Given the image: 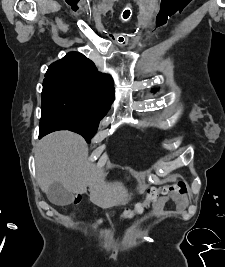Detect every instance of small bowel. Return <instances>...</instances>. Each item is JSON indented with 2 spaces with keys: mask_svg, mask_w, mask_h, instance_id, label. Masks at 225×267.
Masks as SVG:
<instances>
[{
  "mask_svg": "<svg viewBox=\"0 0 225 267\" xmlns=\"http://www.w3.org/2000/svg\"><path fill=\"white\" fill-rule=\"evenodd\" d=\"M173 201L177 210L182 211L188 205V196L185 193H176L167 197L161 198L155 205V211L160 212L165 204L169 201Z\"/></svg>",
  "mask_w": 225,
  "mask_h": 267,
  "instance_id": "obj_1",
  "label": "small bowel"
}]
</instances>
